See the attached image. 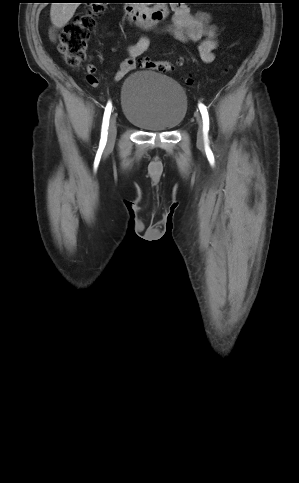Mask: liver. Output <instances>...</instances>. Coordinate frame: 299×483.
Segmentation results:
<instances>
[{
	"label": "liver",
	"instance_id": "1",
	"mask_svg": "<svg viewBox=\"0 0 299 483\" xmlns=\"http://www.w3.org/2000/svg\"><path fill=\"white\" fill-rule=\"evenodd\" d=\"M79 3H52L50 17L57 28L64 27L73 17Z\"/></svg>",
	"mask_w": 299,
	"mask_h": 483
}]
</instances>
